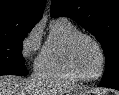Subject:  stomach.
I'll use <instances>...</instances> for the list:
<instances>
[{
  "instance_id": "1",
  "label": "stomach",
  "mask_w": 119,
  "mask_h": 95,
  "mask_svg": "<svg viewBox=\"0 0 119 95\" xmlns=\"http://www.w3.org/2000/svg\"><path fill=\"white\" fill-rule=\"evenodd\" d=\"M67 95H91V94L87 90H84L82 88H76Z\"/></svg>"
}]
</instances>
